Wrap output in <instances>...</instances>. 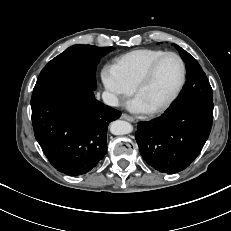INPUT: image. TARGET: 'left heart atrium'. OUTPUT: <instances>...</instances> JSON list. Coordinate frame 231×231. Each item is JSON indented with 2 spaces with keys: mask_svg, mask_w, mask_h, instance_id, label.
<instances>
[{
  "mask_svg": "<svg viewBox=\"0 0 231 231\" xmlns=\"http://www.w3.org/2000/svg\"><path fill=\"white\" fill-rule=\"evenodd\" d=\"M127 108L135 113H145L149 111V108L137 96L128 102Z\"/></svg>",
  "mask_w": 231,
  "mask_h": 231,
  "instance_id": "obj_1",
  "label": "left heart atrium"
}]
</instances>
